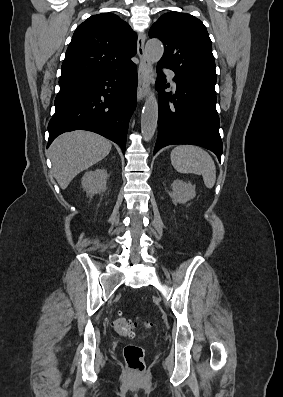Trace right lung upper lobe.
Segmentation results:
<instances>
[{
  "mask_svg": "<svg viewBox=\"0 0 283 397\" xmlns=\"http://www.w3.org/2000/svg\"><path fill=\"white\" fill-rule=\"evenodd\" d=\"M136 50L137 36L129 24L112 13L93 15L73 34L59 84L125 67Z\"/></svg>",
  "mask_w": 283,
  "mask_h": 397,
  "instance_id": "1",
  "label": "right lung upper lobe"
}]
</instances>
